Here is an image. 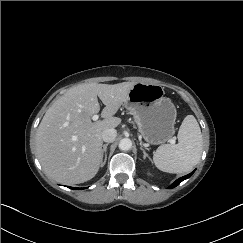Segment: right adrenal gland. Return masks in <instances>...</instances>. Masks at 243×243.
I'll return each instance as SVG.
<instances>
[{"instance_id": "2a0ac1e0", "label": "right adrenal gland", "mask_w": 243, "mask_h": 243, "mask_svg": "<svg viewBox=\"0 0 243 243\" xmlns=\"http://www.w3.org/2000/svg\"><path fill=\"white\" fill-rule=\"evenodd\" d=\"M107 147H108V144L103 145V149H102V152H101V158L103 159L104 155H105V158H104V161L101 163V167H103L105 165L106 160H107Z\"/></svg>"}]
</instances>
